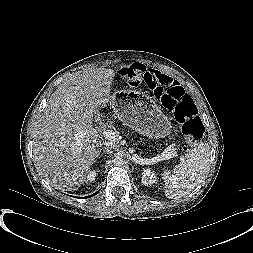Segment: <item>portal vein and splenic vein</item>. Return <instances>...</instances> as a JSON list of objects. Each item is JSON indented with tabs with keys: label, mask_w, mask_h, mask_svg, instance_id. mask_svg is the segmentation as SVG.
<instances>
[{
	"label": "portal vein and splenic vein",
	"mask_w": 253,
	"mask_h": 253,
	"mask_svg": "<svg viewBox=\"0 0 253 253\" xmlns=\"http://www.w3.org/2000/svg\"><path fill=\"white\" fill-rule=\"evenodd\" d=\"M103 135L105 137V139L110 140V141H117L119 140V135L116 131H112V130H105L103 132ZM79 142H77L78 144ZM175 152L171 151V149H168L167 152H164L161 156H158V160H165V159H171L172 157H174Z\"/></svg>",
	"instance_id": "18ae733b"
}]
</instances>
